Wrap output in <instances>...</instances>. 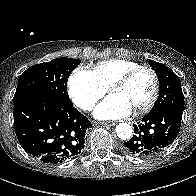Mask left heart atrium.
Returning <instances> with one entry per match:
<instances>
[{"label":"left heart atrium","instance_id":"1","mask_svg":"<svg viewBox=\"0 0 196 196\" xmlns=\"http://www.w3.org/2000/svg\"><path fill=\"white\" fill-rule=\"evenodd\" d=\"M132 112L131 107L115 95H109L94 110L98 119H120L127 117Z\"/></svg>","mask_w":196,"mask_h":196}]
</instances>
